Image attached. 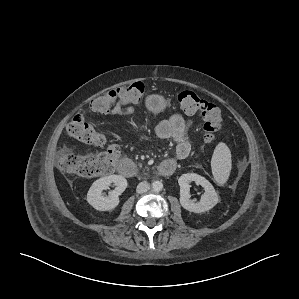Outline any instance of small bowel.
I'll use <instances>...</instances> for the list:
<instances>
[{"mask_svg": "<svg viewBox=\"0 0 299 299\" xmlns=\"http://www.w3.org/2000/svg\"><path fill=\"white\" fill-rule=\"evenodd\" d=\"M135 111L133 105H118L109 114L112 116H129ZM192 127V121L180 114L161 121L156 127V134L161 139H172L176 143L175 157L186 159L191 152V145L186 140V134ZM174 161L173 159H170ZM175 162V161H174Z\"/></svg>", "mask_w": 299, "mask_h": 299, "instance_id": "c3829d8e", "label": "small bowel"}]
</instances>
